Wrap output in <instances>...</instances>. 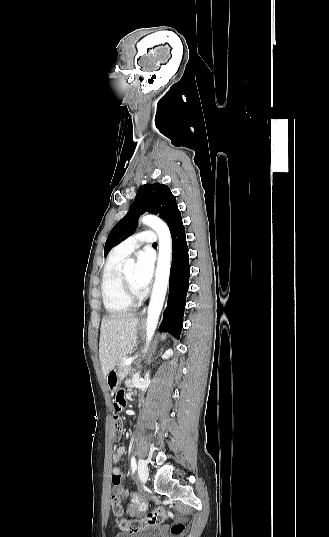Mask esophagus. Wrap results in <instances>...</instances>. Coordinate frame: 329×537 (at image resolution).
<instances>
[{
    "label": "esophagus",
    "instance_id": "esophagus-1",
    "mask_svg": "<svg viewBox=\"0 0 329 537\" xmlns=\"http://www.w3.org/2000/svg\"><path fill=\"white\" fill-rule=\"evenodd\" d=\"M140 314L144 315L145 314V309H143Z\"/></svg>",
    "mask_w": 329,
    "mask_h": 537
}]
</instances>
